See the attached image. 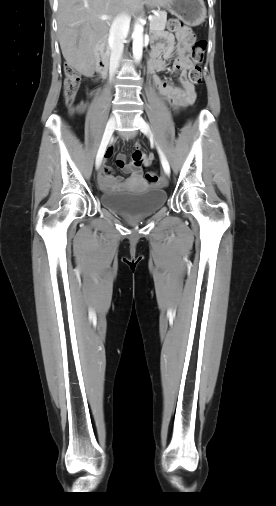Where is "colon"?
Masks as SVG:
<instances>
[{"label": "colon", "instance_id": "1", "mask_svg": "<svg viewBox=\"0 0 276 506\" xmlns=\"http://www.w3.org/2000/svg\"><path fill=\"white\" fill-rule=\"evenodd\" d=\"M187 28L184 22L178 18H171L168 22V29L172 32L179 33ZM206 49V41H196L191 49L190 58L193 63L188 72V79L192 84L199 85L202 82L203 61ZM80 74L70 66L65 67V79L63 96L65 104L69 107L73 106L76 95L80 86ZM145 180L152 185L163 184V179L158 172L151 171L146 173Z\"/></svg>", "mask_w": 276, "mask_h": 506}]
</instances>
